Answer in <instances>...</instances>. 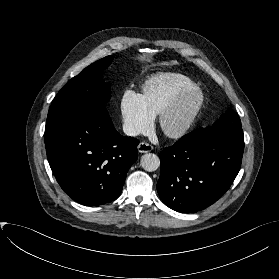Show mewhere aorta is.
I'll return each mask as SVG.
<instances>
[{
	"instance_id": "762f6f07",
	"label": "aorta",
	"mask_w": 279,
	"mask_h": 279,
	"mask_svg": "<svg viewBox=\"0 0 279 279\" xmlns=\"http://www.w3.org/2000/svg\"><path fill=\"white\" fill-rule=\"evenodd\" d=\"M140 164L145 171L153 172L160 166V159L154 153H146L141 157Z\"/></svg>"
}]
</instances>
